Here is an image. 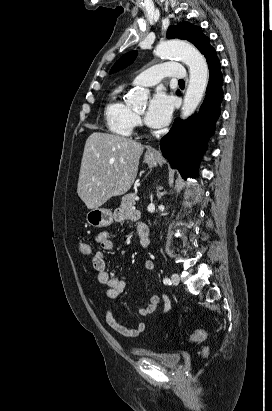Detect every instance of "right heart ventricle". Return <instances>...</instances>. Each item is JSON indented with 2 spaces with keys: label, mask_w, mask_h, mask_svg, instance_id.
Returning a JSON list of instances; mask_svg holds the SVG:
<instances>
[{
  "label": "right heart ventricle",
  "mask_w": 272,
  "mask_h": 411,
  "mask_svg": "<svg viewBox=\"0 0 272 411\" xmlns=\"http://www.w3.org/2000/svg\"><path fill=\"white\" fill-rule=\"evenodd\" d=\"M122 89L114 90L105 107V117L111 132L130 136L135 127V114L132 107L122 99Z\"/></svg>",
  "instance_id": "e07e8e85"
}]
</instances>
